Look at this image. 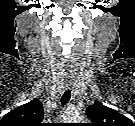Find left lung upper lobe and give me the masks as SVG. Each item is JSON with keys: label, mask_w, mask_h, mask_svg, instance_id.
I'll list each match as a JSON object with an SVG mask.
<instances>
[{"label": "left lung upper lobe", "mask_w": 135, "mask_h": 126, "mask_svg": "<svg viewBox=\"0 0 135 126\" xmlns=\"http://www.w3.org/2000/svg\"><path fill=\"white\" fill-rule=\"evenodd\" d=\"M88 118L92 121L91 126H127L130 120L114 109L104 106L99 101L86 109Z\"/></svg>", "instance_id": "1"}]
</instances>
